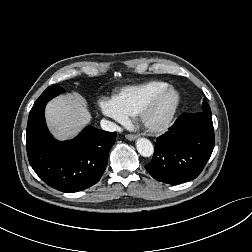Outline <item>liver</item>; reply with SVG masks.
Masks as SVG:
<instances>
[{
	"mask_svg": "<svg viewBox=\"0 0 252 252\" xmlns=\"http://www.w3.org/2000/svg\"><path fill=\"white\" fill-rule=\"evenodd\" d=\"M46 121L55 138L68 140L75 137L91 121V115L82 97L61 95L46 106Z\"/></svg>",
	"mask_w": 252,
	"mask_h": 252,
	"instance_id": "6515ba94",
	"label": "liver"
}]
</instances>
